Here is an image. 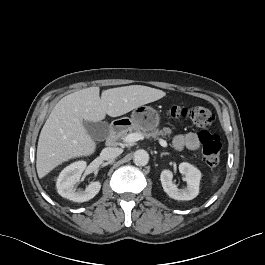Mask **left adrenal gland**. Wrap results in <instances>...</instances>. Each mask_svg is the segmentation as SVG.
<instances>
[{
  "label": "left adrenal gland",
  "instance_id": "left-adrenal-gland-1",
  "mask_svg": "<svg viewBox=\"0 0 265 265\" xmlns=\"http://www.w3.org/2000/svg\"><path fill=\"white\" fill-rule=\"evenodd\" d=\"M163 155H169V153H168V152H163V153L160 154L161 157H162Z\"/></svg>",
  "mask_w": 265,
  "mask_h": 265
}]
</instances>
